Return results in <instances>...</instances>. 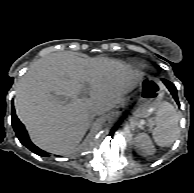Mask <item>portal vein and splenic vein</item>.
Returning <instances> with one entry per match:
<instances>
[{
    "label": "portal vein and splenic vein",
    "instance_id": "portal-vein-and-splenic-vein-1",
    "mask_svg": "<svg viewBox=\"0 0 194 193\" xmlns=\"http://www.w3.org/2000/svg\"><path fill=\"white\" fill-rule=\"evenodd\" d=\"M145 124H147V123H146L144 120H140V121H139V125H140V126L145 125Z\"/></svg>",
    "mask_w": 194,
    "mask_h": 193
}]
</instances>
